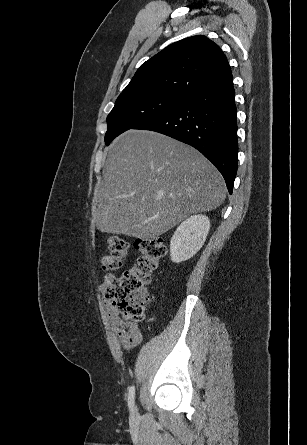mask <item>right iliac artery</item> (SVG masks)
Here are the masks:
<instances>
[{
	"label": "right iliac artery",
	"mask_w": 307,
	"mask_h": 445,
	"mask_svg": "<svg viewBox=\"0 0 307 445\" xmlns=\"http://www.w3.org/2000/svg\"><path fill=\"white\" fill-rule=\"evenodd\" d=\"M134 395H135V387L131 386L130 390H129V394H128V406L131 410V412H133V408H134Z\"/></svg>",
	"instance_id": "82829eb1"
}]
</instances>
